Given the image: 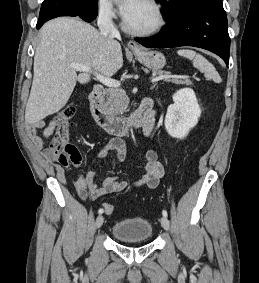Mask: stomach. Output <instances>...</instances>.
<instances>
[{
	"instance_id": "1",
	"label": "stomach",
	"mask_w": 259,
	"mask_h": 283,
	"mask_svg": "<svg viewBox=\"0 0 259 283\" xmlns=\"http://www.w3.org/2000/svg\"><path fill=\"white\" fill-rule=\"evenodd\" d=\"M135 57L148 68L159 70L166 64L164 55L159 51L154 50H141L134 51Z\"/></svg>"
}]
</instances>
